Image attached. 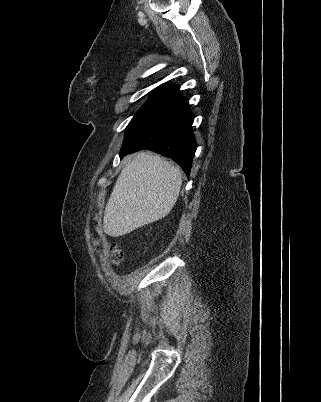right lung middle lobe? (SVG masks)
Wrapping results in <instances>:
<instances>
[{
  "instance_id": "dd1d6c3e",
  "label": "right lung middle lobe",
  "mask_w": 321,
  "mask_h": 402,
  "mask_svg": "<svg viewBox=\"0 0 321 402\" xmlns=\"http://www.w3.org/2000/svg\"><path fill=\"white\" fill-rule=\"evenodd\" d=\"M174 88L169 86H159L150 95L149 99L145 104L139 109L133 119L130 121L127 128L136 123L139 119L147 115L151 110L162 103L172 92Z\"/></svg>"
}]
</instances>
